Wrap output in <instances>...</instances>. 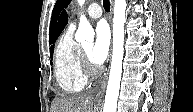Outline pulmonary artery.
Here are the masks:
<instances>
[{
    "instance_id": "pulmonary-artery-1",
    "label": "pulmonary artery",
    "mask_w": 193,
    "mask_h": 112,
    "mask_svg": "<svg viewBox=\"0 0 193 112\" xmlns=\"http://www.w3.org/2000/svg\"><path fill=\"white\" fill-rule=\"evenodd\" d=\"M87 17L91 19H96L101 17L102 15V9L98 3H92L88 6L86 11ZM79 19L75 18L74 21L71 23V26L75 27V25L78 23Z\"/></svg>"
}]
</instances>
